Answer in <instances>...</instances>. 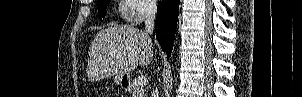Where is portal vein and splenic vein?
<instances>
[{"label":"portal vein and splenic vein","instance_id":"obj_1","mask_svg":"<svg viewBox=\"0 0 302 97\" xmlns=\"http://www.w3.org/2000/svg\"><path fill=\"white\" fill-rule=\"evenodd\" d=\"M137 85L141 88L145 87L147 85V78L145 76H140L138 78Z\"/></svg>","mask_w":302,"mask_h":97}]
</instances>
